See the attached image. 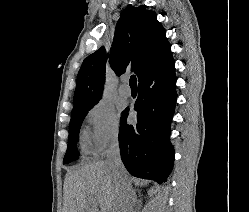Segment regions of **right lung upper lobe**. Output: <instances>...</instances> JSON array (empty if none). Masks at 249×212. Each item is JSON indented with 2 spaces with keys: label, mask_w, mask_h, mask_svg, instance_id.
Listing matches in <instances>:
<instances>
[{
  "label": "right lung upper lobe",
  "mask_w": 249,
  "mask_h": 212,
  "mask_svg": "<svg viewBox=\"0 0 249 212\" xmlns=\"http://www.w3.org/2000/svg\"><path fill=\"white\" fill-rule=\"evenodd\" d=\"M146 6L127 7L115 28L109 63L117 76L134 71L140 80L171 55L166 31ZM107 54L101 47L84 59L77 77L74 109L98 103L105 82Z\"/></svg>",
  "instance_id": "cb5924a9"
}]
</instances>
